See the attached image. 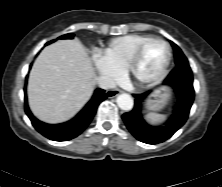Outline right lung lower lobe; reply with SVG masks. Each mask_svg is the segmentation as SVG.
Listing matches in <instances>:
<instances>
[{
    "label": "right lung lower lobe",
    "instance_id": "1",
    "mask_svg": "<svg viewBox=\"0 0 222 187\" xmlns=\"http://www.w3.org/2000/svg\"><path fill=\"white\" fill-rule=\"evenodd\" d=\"M26 92V91H25ZM106 99L105 90L96 89L91 100L86 104L84 109L72 120L63 124L51 125L36 119L27 104L25 95V112L30 118L34 128L43 136L54 141H67L77 137L91 122L96 114L99 104Z\"/></svg>",
    "mask_w": 222,
    "mask_h": 187
}]
</instances>
